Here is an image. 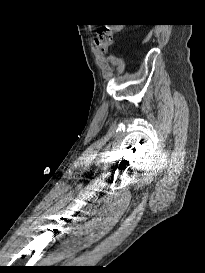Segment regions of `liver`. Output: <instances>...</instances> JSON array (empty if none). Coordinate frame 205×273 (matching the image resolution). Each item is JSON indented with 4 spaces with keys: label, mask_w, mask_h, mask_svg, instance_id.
<instances>
[{
    "label": "liver",
    "mask_w": 205,
    "mask_h": 273,
    "mask_svg": "<svg viewBox=\"0 0 205 273\" xmlns=\"http://www.w3.org/2000/svg\"><path fill=\"white\" fill-rule=\"evenodd\" d=\"M111 27H112L111 29L114 30V31H120L122 29L121 25H112Z\"/></svg>",
    "instance_id": "6515ba94"
}]
</instances>
